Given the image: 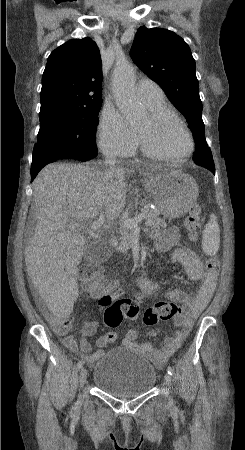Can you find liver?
Masks as SVG:
<instances>
[{
	"label": "liver",
	"mask_w": 245,
	"mask_h": 450,
	"mask_svg": "<svg viewBox=\"0 0 245 450\" xmlns=\"http://www.w3.org/2000/svg\"><path fill=\"white\" fill-rule=\"evenodd\" d=\"M127 191L122 168L102 171L79 164L52 163L36 177L37 224L25 251V263L54 315H69L78 297L76 275L87 239L72 232L69 225H79L100 214L110 219L118 217L124 209Z\"/></svg>",
	"instance_id": "6515ba94"
}]
</instances>
